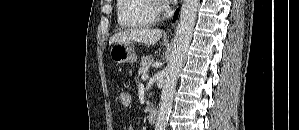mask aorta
Segmentation results:
<instances>
[{"label": "aorta", "instance_id": "1", "mask_svg": "<svg viewBox=\"0 0 299 130\" xmlns=\"http://www.w3.org/2000/svg\"><path fill=\"white\" fill-rule=\"evenodd\" d=\"M198 6L199 0L183 1L172 52L165 69L164 86L155 130H165L167 126L168 117L172 108L173 94L192 38Z\"/></svg>", "mask_w": 299, "mask_h": 130}]
</instances>
